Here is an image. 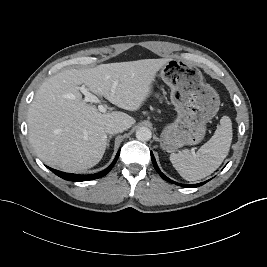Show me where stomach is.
<instances>
[{
    "label": "stomach",
    "instance_id": "stomach-1",
    "mask_svg": "<svg viewBox=\"0 0 267 267\" xmlns=\"http://www.w3.org/2000/svg\"><path fill=\"white\" fill-rule=\"evenodd\" d=\"M159 75L170 86L171 102L177 111L175 121L166 125L161 133L162 149L171 152L200 143L206 133V123L219 110L218 93L204 82L197 67L177 59H169Z\"/></svg>",
    "mask_w": 267,
    "mask_h": 267
}]
</instances>
